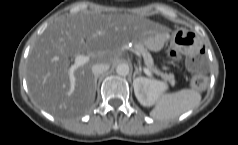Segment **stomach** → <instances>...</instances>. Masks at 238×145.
<instances>
[{
  "instance_id": "obj_1",
  "label": "stomach",
  "mask_w": 238,
  "mask_h": 145,
  "mask_svg": "<svg viewBox=\"0 0 238 145\" xmlns=\"http://www.w3.org/2000/svg\"><path fill=\"white\" fill-rule=\"evenodd\" d=\"M201 45L200 36L189 29H178L171 39L172 48L183 55H190Z\"/></svg>"
}]
</instances>
